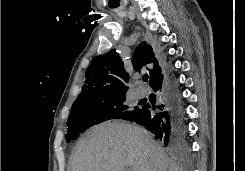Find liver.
Returning <instances> with one entry per match:
<instances>
[{
    "instance_id": "1",
    "label": "liver",
    "mask_w": 245,
    "mask_h": 171,
    "mask_svg": "<svg viewBox=\"0 0 245 171\" xmlns=\"http://www.w3.org/2000/svg\"><path fill=\"white\" fill-rule=\"evenodd\" d=\"M71 171H182L141 127L105 122L91 128L70 160Z\"/></svg>"
}]
</instances>
